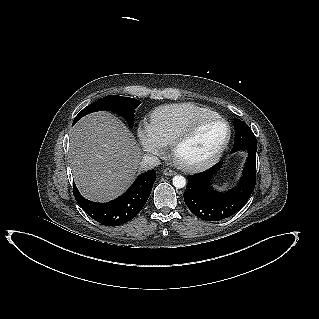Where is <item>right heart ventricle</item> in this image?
Here are the masks:
<instances>
[{"label":"right heart ventricle","mask_w":319,"mask_h":319,"mask_svg":"<svg viewBox=\"0 0 319 319\" xmlns=\"http://www.w3.org/2000/svg\"><path fill=\"white\" fill-rule=\"evenodd\" d=\"M216 114L208 107L193 103L168 104L155 108L150 114V126L167 145L193 120Z\"/></svg>","instance_id":"obj_1"}]
</instances>
